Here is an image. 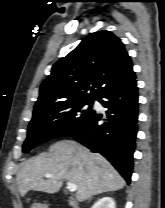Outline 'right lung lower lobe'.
Instances as JSON below:
<instances>
[{
  "instance_id": "obj_1",
  "label": "right lung lower lobe",
  "mask_w": 165,
  "mask_h": 208,
  "mask_svg": "<svg viewBox=\"0 0 165 208\" xmlns=\"http://www.w3.org/2000/svg\"><path fill=\"white\" fill-rule=\"evenodd\" d=\"M135 73L97 100L107 108L106 121L95 111L73 134L74 139L102 154L129 184L137 134L138 88Z\"/></svg>"
}]
</instances>
